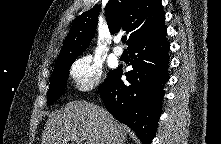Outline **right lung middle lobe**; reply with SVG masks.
<instances>
[{
  "mask_svg": "<svg viewBox=\"0 0 221 144\" xmlns=\"http://www.w3.org/2000/svg\"><path fill=\"white\" fill-rule=\"evenodd\" d=\"M72 63L68 62L54 67L47 95L48 105L53 104V102L65 93L66 80Z\"/></svg>",
  "mask_w": 221,
  "mask_h": 144,
  "instance_id": "dd1d6c3e",
  "label": "right lung middle lobe"
}]
</instances>
